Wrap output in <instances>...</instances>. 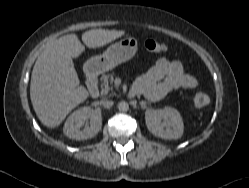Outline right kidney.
Instances as JSON below:
<instances>
[{
	"label": "right kidney",
	"instance_id": "1",
	"mask_svg": "<svg viewBox=\"0 0 249 188\" xmlns=\"http://www.w3.org/2000/svg\"><path fill=\"white\" fill-rule=\"evenodd\" d=\"M87 120H90V125L81 129ZM101 127V110L82 107L67 118L63 132L70 139L86 140L94 137L101 130Z\"/></svg>",
	"mask_w": 249,
	"mask_h": 188
}]
</instances>
